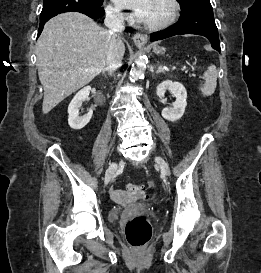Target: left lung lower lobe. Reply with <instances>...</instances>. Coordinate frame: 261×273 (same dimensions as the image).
Here are the masks:
<instances>
[{
    "instance_id": "0a47b994",
    "label": "left lung lower lobe",
    "mask_w": 261,
    "mask_h": 273,
    "mask_svg": "<svg viewBox=\"0 0 261 273\" xmlns=\"http://www.w3.org/2000/svg\"><path fill=\"white\" fill-rule=\"evenodd\" d=\"M180 20L169 28L152 33L150 41L162 40L174 35L197 34L206 37L214 49L220 52L218 30L209 0H193L181 6Z\"/></svg>"
}]
</instances>
